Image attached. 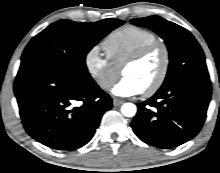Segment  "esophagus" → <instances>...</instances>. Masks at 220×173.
<instances>
[{"label": "esophagus", "mask_w": 220, "mask_h": 173, "mask_svg": "<svg viewBox=\"0 0 220 173\" xmlns=\"http://www.w3.org/2000/svg\"><path fill=\"white\" fill-rule=\"evenodd\" d=\"M123 103H124L123 100L118 99V98H113V105H114V106H120V105H122Z\"/></svg>", "instance_id": "obj_1"}]
</instances>
